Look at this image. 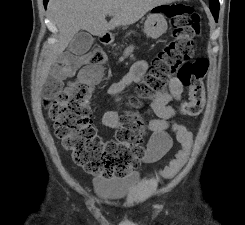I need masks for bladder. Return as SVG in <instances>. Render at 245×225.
I'll use <instances>...</instances> for the list:
<instances>
[{
  "label": "bladder",
  "mask_w": 245,
  "mask_h": 225,
  "mask_svg": "<svg viewBox=\"0 0 245 225\" xmlns=\"http://www.w3.org/2000/svg\"><path fill=\"white\" fill-rule=\"evenodd\" d=\"M95 188L100 198L120 199L134 192L141 182L139 172H133L127 177L94 179Z\"/></svg>",
  "instance_id": "bladder-1"
}]
</instances>
